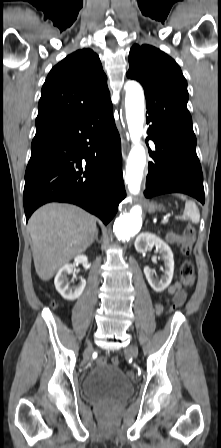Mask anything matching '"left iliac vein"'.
Returning a JSON list of instances; mask_svg holds the SVG:
<instances>
[{
  "mask_svg": "<svg viewBox=\"0 0 221 448\" xmlns=\"http://www.w3.org/2000/svg\"><path fill=\"white\" fill-rule=\"evenodd\" d=\"M125 351L127 352V353H129L130 355H132L133 357H137L138 356V349H137V347L135 346V345H133V344H130L126 349H125Z\"/></svg>",
  "mask_w": 221,
  "mask_h": 448,
  "instance_id": "4c4485c4",
  "label": "left iliac vein"
}]
</instances>
